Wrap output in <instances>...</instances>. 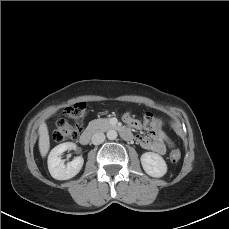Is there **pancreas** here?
I'll return each mask as SVG.
<instances>
[{"label": "pancreas", "instance_id": "1", "mask_svg": "<svg viewBox=\"0 0 229 229\" xmlns=\"http://www.w3.org/2000/svg\"><path fill=\"white\" fill-rule=\"evenodd\" d=\"M89 128L96 131H106L111 128V124L108 119H96L89 123Z\"/></svg>", "mask_w": 229, "mask_h": 229}]
</instances>
